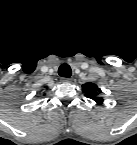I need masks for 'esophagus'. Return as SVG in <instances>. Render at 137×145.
I'll return each instance as SVG.
<instances>
[{
  "label": "esophagus",
  "instance_id": "34e87169",
  "mask_svg": "<svg viewBox=\"0 0 137 145\" xmlns=\"http://www.w3.org/2000/svg\"><path fill=\"white\" fill-rule=\"evenodd\" d=\"M62 81L63 82H71V78L64 77V78H62Z\"/></svg>",
  "mask_w": 137,
  "mask_h": 145
}]
</instances>
